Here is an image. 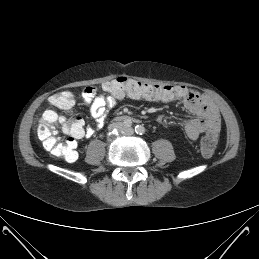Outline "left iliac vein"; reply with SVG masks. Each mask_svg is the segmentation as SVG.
I'll list each match as a JSON object with an SVG mask.
<instances>
[{"mask_svg":"<svg viewBox=\"0 0 259 259\" xmlns=\"http://www.w3.org/2000/svg\"><path fill=\"white\" fill-rule=\"evenodd\" d=\"M125 131L129 134H133L134 130L132 128L125 129Z\"/></svg>","mask_w":259,"mask_h":259,"instance_id":"1","label":"left iliac vein"}]
</instances>
